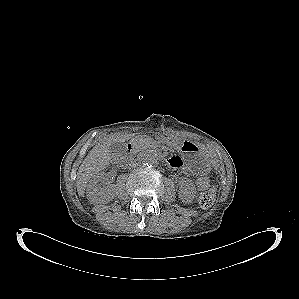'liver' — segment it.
<instances>
[{"instance_id":"6515ba94","label":"liver","mask_w":299,"mask_h":299,"mask_svg":"<svg viewBox=\"0 0 299 299\" xmlns=\"http://www.w3.org/2000/svg\"><path fill=\"white\" fill-rule=\"evenodd\" d=\"M131 138L130 134L115 133L106 136L89 151L77 172V191L80 196L85 193L89 180L98 172L109 166L112 159L118 154H112L110 147L113 143H123Z\"/></svg>"}]
</instances>
